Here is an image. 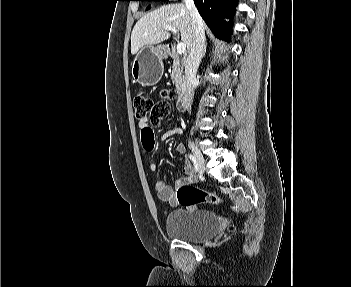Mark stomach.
Listing matches in <instances>:
<instances>
[{
    "label": "stomach",
    "instance_id": "1",
    "mask_svg": "<svg viewBox=\"0 0 351 287\" xmlns=\"http://www.w3.org/2000/svg\"><path fill=\"white\" fill-rule=\"evenodd\" d=\"M165 51L161 47L144 46L132 62V76L142 86H154L164 72L163 58Z\"/></svg>",
    "mask_w": 351,
    "mask_h": 287
}]
</instances>
